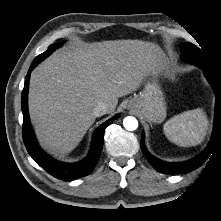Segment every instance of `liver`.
I'll return each instance as SVG.
<instances>
[{
    "mask_svg": "<svg viewBox=\"0 0 221 221\" xmlns=\"http://www.w3.org/2000/svg\"><path fill=\"white\" fill-rule=\"evenodd\" d=\"M163 65L159 47L140 40L82 43L55 52L32 72L29 113L41 145L64 156L95 122L94 108L136 91Z\"/></svg>",
    "mask_w": 221,
    "mask_h": 221,
    "instance_id": "obj_1",
    "label": "liver"
}]
</instances>
